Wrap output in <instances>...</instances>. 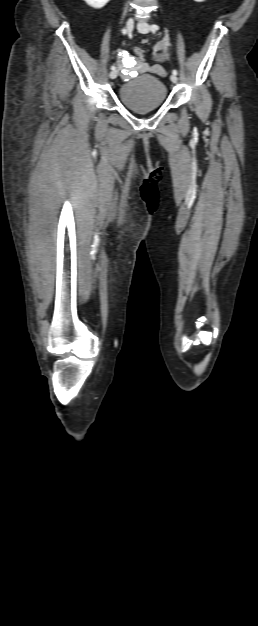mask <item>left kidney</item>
Returning a JSON list of instances; mask_svg holds the SVG:
<instances>
[{
	"label": "left kidney",
	"mask_w": 258,
	"mask_h": 626,
	"mask_svg": "<svg viewBox=\"0 0 258 626\" xmlns=\"http://www.w3.org/2000/svg\"><path fill=\"white\" fill-rule=\"evenodd\" d=\"M195 2H204L205 0H194Z\"/></svg>",
	"instance_id": "1"
}]
</instances>
